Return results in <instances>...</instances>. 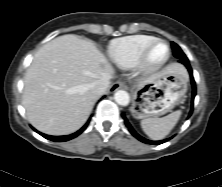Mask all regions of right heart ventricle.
<instances>
[{
	"instance_id": "obj_1",
	"label": "right heart ventricle",
	"mask_w": 222,
	"mask_h": 187,
	"mask_svg": "<svg viewBox=\"0 0 222 187\" xmlns=\"http://www.w3.org/2000/svg\"><path fill=\"white\" fill-rule=\"evenodd\" d=\"M155 39L149 35H132L115 39L108 46V56L120 68H133L143 49Z\"/></svg>"
}]
</instances>
